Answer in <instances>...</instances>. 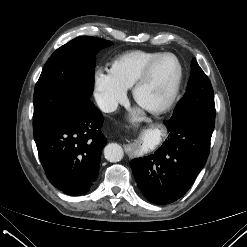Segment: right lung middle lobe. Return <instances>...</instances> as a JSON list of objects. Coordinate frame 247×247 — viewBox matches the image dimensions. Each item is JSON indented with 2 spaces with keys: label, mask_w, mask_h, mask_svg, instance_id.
Segmentation results:
<instances>
[{
  "label": "right lung middle lobe",
  "mask_w": 247,
  "mask_h": 247,
  "mask_svg": "<svg viewBox=\"0 0 247 247\" xmlns=\"http://www.w3.org/2000/svg\"><path fill=\"white\" fill-rule=\"evenodd\" d=\"M112 44L101 38L81 36L51 55L34 91V130L63 112L72 102L90 97L94 88L95 56Z\"/></svg>",
  "instance_id": "dd1d6c3e"
}]
</instances>
